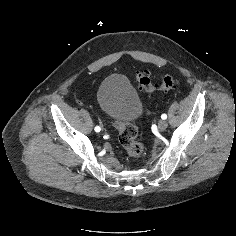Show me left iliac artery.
<instances>
[{
	"instance_id": "obj_1",
	"label": "left iliac artery",
	"mask_w": 236,
	"mask_h": 236,
	"mask_svg": "<svg viewBox=\"0 0 236 236\" xmlns=\"http://www.w3.org/2000/svg\"><path fill=\"white\" fill-rule=\"evenodd\" d=\"M161 118H162L163 120H165V119H167V115H166V114H162V115H161Z\"/></svg>"
}]
</instances>
